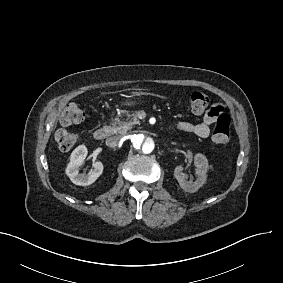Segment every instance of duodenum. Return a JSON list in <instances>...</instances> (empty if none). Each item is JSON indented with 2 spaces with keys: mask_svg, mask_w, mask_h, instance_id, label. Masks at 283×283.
I'll return each instance as SVG.
<instances>
[{
  "mask_svg": "<svg viewBox=\"0 0 283 283\" xmlns=\"http://www.w3.org/2000/svg\"><path fill=\"white\" fill-rule=\"evenodd\" d=\"M94 138L98 141L106 139L109 135V129L107 127H100L94 131Z\"/></svg>",
  "mask_w": 283,
  "mask_h": 283,
  "instance_id": "obj_1",
  "label": "duodenum"
}]
</instances>
